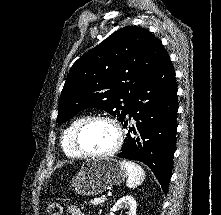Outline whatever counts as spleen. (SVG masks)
Masks as SVG:
<instances>
[{
  "instance_id": "3e777b00",
  "label": "spleen",
  "mask_w": 221,
  "mask_h": 215,
  "mask_svg": "<svg viewBox=\"0 0 221 215\" xmlns=\"http://www.w3.org/2000/svg\"><path fill=\"white\" fill-rule=\"evenodd\" d=\"M121 165L124 167L128 175L127 187L135 188L143 182L145 178V172L141 166L128 160H122Z\"/></svg>"
}]
</instances>
